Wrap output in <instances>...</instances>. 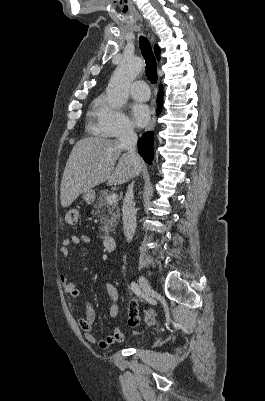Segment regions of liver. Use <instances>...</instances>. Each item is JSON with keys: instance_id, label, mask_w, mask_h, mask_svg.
Segmentation results:
<instances>
[{"instance_id": "obj_1", "label": "liver", "mask_w": 265, "mask_h": 401, "mask_svg": "<svg viewBox=\"0 0 265 401\" xmlns=\"http://www.w3.org/2000/svg\"><path fill=\"white\" fill-rule=\"evenodd\" d=\"M123 150L118 138L88 136L78 140L69 154L61 180L62 207H70L81 192H86L100 182L107 180L108 186L123 184L132 178L134 170L139 174L140 156L135 168L128 152ZM117 158L119 160L115 166Z\"/></svg>"}]
</instances>
